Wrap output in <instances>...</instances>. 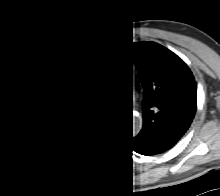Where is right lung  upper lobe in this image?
<instances>
[{
	"instance_id": "cb5924a9",
	"label": "right lung upper lobe",
	"mask_w": 220,
	"mask_h": 196,
	"mask_svg": "<svg viewBox=\"0 0 220 196\" xmlns=\"http://www.w3.org/2000/svg\"><path fill=\"white\" fill-rule=\"evenodd\" d=\"M105 51L102 44L79 40L48 65L40 102L46 127L55 139L82 144L93 132V120L83 105L85 83Z\"/></svg>"
}]
</instances>
